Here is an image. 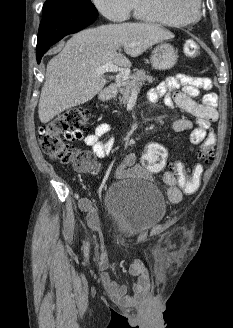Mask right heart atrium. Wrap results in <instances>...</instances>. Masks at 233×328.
<instances>
[{
	"label": "right heart atrium",
	"instance_id": "1",
	"mask_svg": "<svg viewBox=\"0 0 233 328\" xmlns=\"http://www.w3.org/2000/svg\"><path fill=\"white\" fill-rule=\"evenodd\" d=\"M133 0H92V3L105 18L122 22L129 18Z\"/></svg>",
	"mask_w": 233,
	"mask_h": 328
}]
</instances>
